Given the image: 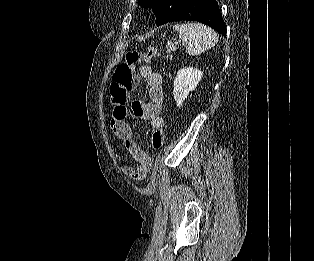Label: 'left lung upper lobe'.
Wrapping results in <instances>:
<instances>
[{"label":"left lung upper lobe","mask_w":314,"mask_h":261,"mask_svg":"<svg viewBox=\"0 0 314 261\" xmlns=\"http://www.w3.org/2000/svg\"><path fill=\"white\" fill-rule=\"evenodd\" d=\"M184 0H138L142 7H150L157 18V25L170 21Z\"/></svg>","instance_id":"left-lung-upper-lobe-1"}]
</instances>
